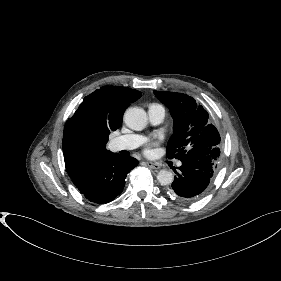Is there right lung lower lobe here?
<instances>
[{
  "mask_svg": "<svg viewBox=\"0 0 281 281\" xmlns=\"http://www.w3.org/2000/svg\"><path fill=\"white\" fill-rule=\"evenodd\" d=\"M137 165L135 158L109 152L96 158L72 181L89 201L108 203L123 191L127 174Z\"/></svg>",
  "mask_w": 281,
  "mask_h": 281,
  "instance_id": "98d812e1",
  "label": "right lung lower lobe"
}]
</instances>
